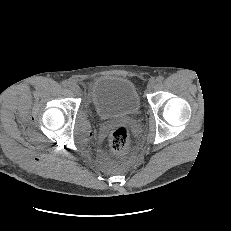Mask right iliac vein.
<instances>
[{
  "label": "right iliac vein",
  "mask_w": 231,
  "mask_h": 231,
  "mask_svg": "<svg viewBox=\"0 0 231 231\" xmlns=\"http://www.w3.org/2000/svg\"><path fill=\"white\" fill-rule=\"evenodd\" d=\"M69 89H70L71 92H73L75 94L80 91V87L76 83H70Z\"/></svg>",
  "instance_id": "63e3f726"
}]
</instances>
